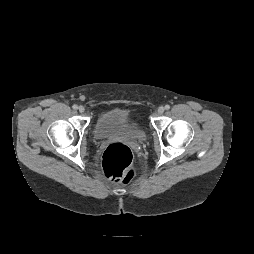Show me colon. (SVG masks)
Instances as JSON below:
<instances>
[{
  "mask_svg": "<svg viewBox=\"0 0 254 254\" xmlns=\"http://www.w3.org/2000/svg\"><path fill=\"white\" fill-rule=\"evenodd\" d=\"M102 164L105 175L112 181L127 184L135 177L132 152L124 143L110 144L103 153Z\"/></svg>",
  "mask_w": 254,
  "mask_h": 254,
  "instance_id": "1",
  "label": "colon"
}]
</instances>
